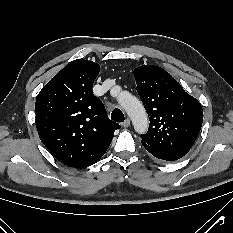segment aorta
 <instances>
[{"label": "aorta", "instance_id": "obj_1", "mask_svg": "<svg viewBox=\"0 0 233 233\" xmlns=\"http://www.w3.org/2000/svg\"><path fill=\"white\" fill-rule=\"evenodd\" d=\"M119 102L131 118L135 131L139 134L145 133L149 122L142 103L130 94L125 98H120Z\"/></svg>", "mask_w": 233, "mask_h": 233}]
</instances>
